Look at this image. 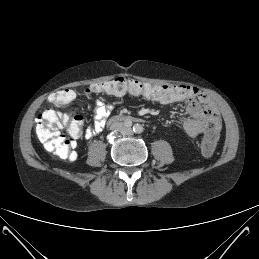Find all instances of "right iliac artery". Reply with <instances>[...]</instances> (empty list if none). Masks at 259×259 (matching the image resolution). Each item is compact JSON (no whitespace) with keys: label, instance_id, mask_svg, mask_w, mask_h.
Masks as SVG:
<instances>
[{"label":"right iliac artery","instance_id":"obj_1","mask_svg":"<svg viewBox=\"0 0 259 259\" xmlns=\"http://www.w3.org/2000/svg\"><path fill=\"white\" fill-rule=\"evenodd\" d=\"M125 126L126 127H131L132 126V122H126Z\"/></svg>","mask_w":259,"mask_h":259}]
</instances>
